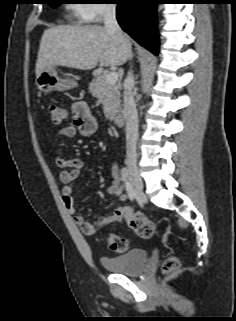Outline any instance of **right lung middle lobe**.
Segmentation results:
<instances>
[{"label":"right lung middle lobe","instance_id":"1","mask_svg":"<svg viewBox=\"0 0 236 321\" xmlns=\"http://www.w3.org/2000/svg\"><path fill=\"white\" fill-rule=\"evenodd\" d=\"M53 2H50L49 5L53 8H56L60 5L59 0H52Z\"/></svg>","mask_w":236,"mask_h":321}]
</instances>
